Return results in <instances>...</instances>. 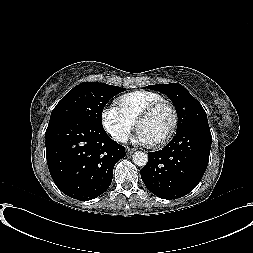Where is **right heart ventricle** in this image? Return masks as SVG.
Returning a JSON list of instances; mask_svg holds the SVG:
<instances>
[{
    "mask_svg": "<svg viewBox=\"0 0 253 253\" xmlns=\"http://www.w3.org/2000/svg\"><path fill=\"white\" fill-rule=\"evenodd\" d=\"M163 99L156 92L136 90L121 95L117 100L120 109L133 121H136L140 112L149 104Z\"/></svg>",
    "mask_w": 253,
    "mask_h": 253,
    "instance_id": "obj_1",
    "label": "right heart ventricle"
}]
</instances>
